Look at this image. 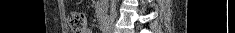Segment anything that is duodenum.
Instances as JSON below:
<instances>
[{"label":"duodenum","mask_w":235,"mask_h":33,"mask_svg":"<svg viewBox=\"0 0 235 33\" xmlns=\"http://www.w3.org/2000/svg\"><path fill=\"white\" fill-rule=\"evenodd\" d=\"M101 28H102V30L105 32V31H106V28H107V23H106V22H103V23L101 24Z\"/></svg>","instance_id":"1"}]
</instances>
